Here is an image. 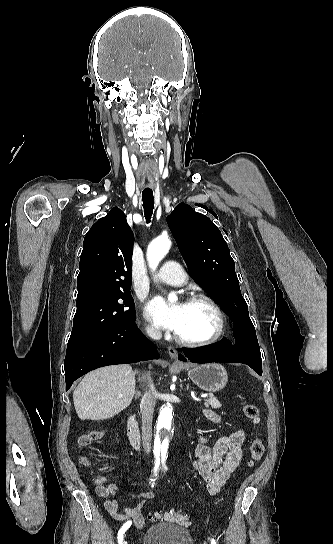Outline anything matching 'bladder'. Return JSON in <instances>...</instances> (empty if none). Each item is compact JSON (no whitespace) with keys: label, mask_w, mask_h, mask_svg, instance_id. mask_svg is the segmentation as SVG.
<instances>
[{"label":"bladder","mask_w":333,"mask_h":544,"mask_svg":"<svg viewBox=\"0 0 333 544\" xmlns=\"http://www.w3.org/2000/svg\"><path fill=\"white\" fill-rule=\"evenodd\" d=\"M141 544H194L190 532L175 524H155L140 538Z\"/></svg>","instance_id":"1"}]
</instances>
